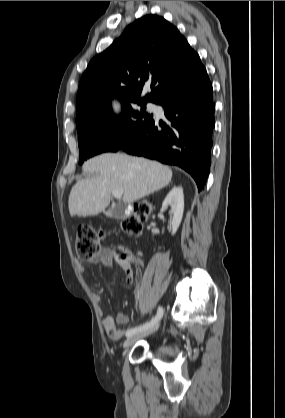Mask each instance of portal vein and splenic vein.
<instances>
[{"label":"portal vein and splenic vein","mask_w":285,"mask_h":418,"mask_svg":"<svg viewBox=\"0 0 285 418\" xmlns=\"http://www.w3.org/2000/svg\"><path fill=\"white\" fill-rule=\"evenodd\" d=\"M123 192L121 190H113L112 191V195L117 198L120 199L122 197Z\"/></svg>","instance_id":"1"}]
</instances>
